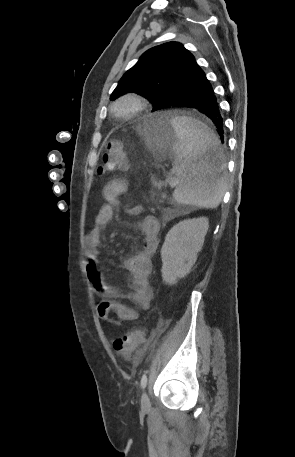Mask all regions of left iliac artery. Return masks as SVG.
Masks as SVG:
<instances>
[{"mask_svg":"<svg viewBox=\"0 0 295 457\" xmlns=\"http://www.w3.org/2000/svg\"><path fill=\"white\" fill-rule=\"evenodd\" d=\"M140 384H141V387L142 389H144L147 385V376H146V373H144L141 377V381H140Z\"/></svg>","mask_w":295,"mask_h":457,"instance_id":"1","label":"left iliac artery"}]
</instances>
